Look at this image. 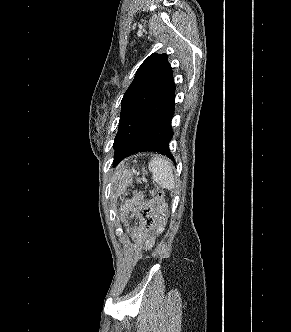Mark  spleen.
<instances>
[{
  "mask_svg": "<svg viewBox=\"0 0 291 332\" xmlns=\"http://www.w3.org/2000/svg\"><path fill=\"white\" fill-rule=\"evenodd\" d=\"M171 162L162 156H155L149 163V170L155 182L162 188L173 189L175 186Z\"/></svg>",
  "mask_w": 291,
  "mask_h": 332,
  "instance_id": "spleen-1",
  "label": "spleen"
}]
</instances>
